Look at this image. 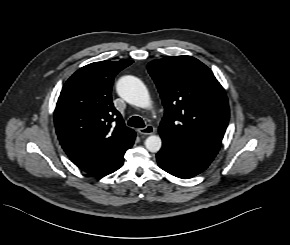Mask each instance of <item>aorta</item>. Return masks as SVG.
Here are the masks:
<instances>
[{"label": "aorta", "instance_id": "obj_1", "mask_svg": "<svg viewBox=\"0 0 290 245\" xmlns=\"http://www.w3.org/2000/svg\"><path fill=\"white\" fill-rule=\"evenodd\" d=\"M117 93L129 104L141 108H149L151 100L144 83L134 76L121 77L116 85ZM162 146V140L158 135H151L145 140V147L152 153H157Z\"/></svg>", "mask_w": 290, "mask_h": 245}]
</instances>
